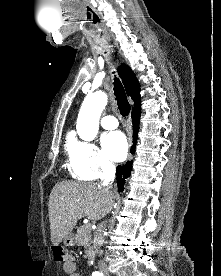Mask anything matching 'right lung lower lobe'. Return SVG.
Wrapping results in <instances>:
<instances>
[{"label":"right lung lower lobe","mask_w":221,"mask_h":276,"mask_svg":"<svg viewBox=\"0 0 221 276\" xmlns=\"http://www.w3.org/2000/svg\"><path fill=\"white\" fill-rule=\"evenodd\" d=\"M141 115V107L132 110V124H133V145L131 147V153L135 151V142L137 141V134L139 130V121ZM132 171V161H128L123 166H118L116 169V179L119 191L124 190L125 179L130 176Z\"/></svg>","instance_id":"1"}]
</instances>
